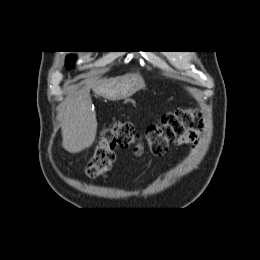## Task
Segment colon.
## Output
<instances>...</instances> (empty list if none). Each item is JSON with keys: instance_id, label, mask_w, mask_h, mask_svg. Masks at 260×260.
<instances>
[{"instance_id": "colon-1", "label": "colon", "mask_w": 260, "mask_h": 260, "mask_svg": "<svg viewBox=\"0 0 260 260\" xmlns=\"http://www.w3.org/2000/svg\"><path fill=\"white\" fill-rule=\"evenodd\" d=\"M198 116L195 109H178L164 114L158 123L148 126L144 132H138L130 122H114L101 130L86 168L87 175L91 178L104 176L112 166L116 148L133 147L140 155L146 145L153 155L162 156L171 144L192 128Z\"/></svg>"}]
</instances>
